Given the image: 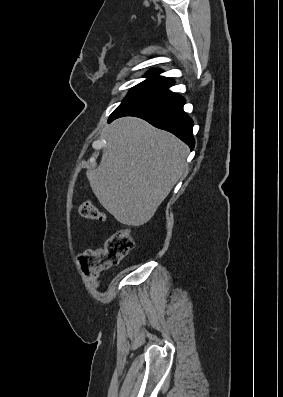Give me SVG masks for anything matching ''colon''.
Instances as JSON below:
<instances>
[{
	"instance_id": "colon-1",
	"label": "colon",
	"mask_w": 283,
	"mask_h": 397,
	"mask_svg": "<svg viewBox=\"0 0 283 397\" xmlns=\"http://www.w3.org/2000/svg\"><path fill=\"white\" fill-rule=\"evenodd\" d=\"M78 213L85 219L103 221L105 215L90 201L78 206ZM134 247L129 229L124 228L113 233L105 243L95 249L85 250L79 257L81 269L92 287L98 286L101 272L118 264Z\"/></svg>"
}]
</instances>
